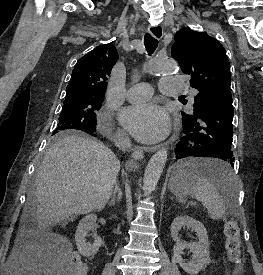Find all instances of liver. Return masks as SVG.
<instances>
[{"label": "liver", "instance_id": "obj_1", "mask_svg": "<svg viewBox=\"0 0 263 275\" xmlns=\"http://www.w3.org/2000/svg\"><path fill=\"white\" fill-rule=\"evenodd\" d=\"M120 162L103 143L62 136L46 152L35 182L36 220L49 227L72 216L102 210L109 201ZM28 203L22 217L25 218Z\"/></svg>", "mask_w": 263, "mask_h": 275}]
</instances>
